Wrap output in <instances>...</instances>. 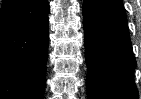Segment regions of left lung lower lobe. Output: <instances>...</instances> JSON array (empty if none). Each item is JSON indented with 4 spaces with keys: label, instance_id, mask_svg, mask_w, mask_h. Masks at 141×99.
<instances>
[{
    "label": "left lung lower lobe",
    "instance_id": "1",
    "mask_svg": "<svg viewBox=\"0 0 141 99\" xmlns=\"http://www.w3.org/2000/svg\"><path fill=\"white\" fill-rule=\"evenodd\" d=\"M88 99H138L122 0H84Z\"/></svg>",
    "mask_w": 141,
    "mask_h": 99
}]
</instances>
